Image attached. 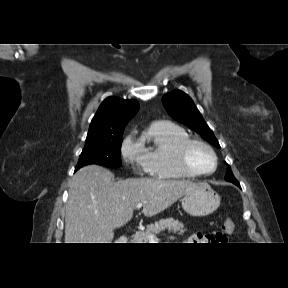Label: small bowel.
I'll return each instance as SVG.
<instances>
[{
	"label": "small bowel",
	"instance_id": "1",
	"mask_svg": "<svg viewBox=\"0 0 288 288\" xmlns=\"http://www.w3.org/2000/svg\"><path fill=\"white\" fill-rule=\"evenodd\" d=\"M217 233H212L210 235H204L202 233L194 234L190 237L191 243H211V242H217Z\"/></svg>",
	"mask_w": 288,
	"mask_h": 288
}]
</instances>
